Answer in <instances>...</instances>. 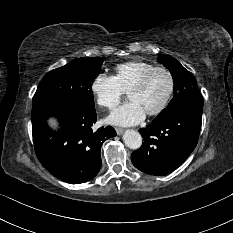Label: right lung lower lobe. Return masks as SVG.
Here are the masks:
<instances>
[{
  "mask_svg": "<svg viewBox=\"0 0 233 233\" xmlns=\"http://www.w3.org/2000/svg\"><path fill=\"white\" fill-rule=\"evenodd\" d=\"M59 120L57 131L49 129L47 119ZM96 111L64 103L32 105V135L41 164L56 178L79 184L90 181L101 168L103 142L116 136L111 126L93 130Z\"/></svg>",
  "mask_w": 233,
  "mask_h": 233,
  "instance_id": "98d812e1",
  "label": "right lung lower lobe"
}]
</instances>
